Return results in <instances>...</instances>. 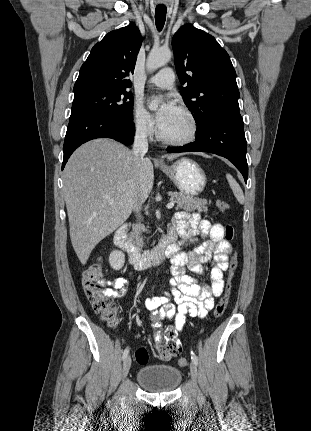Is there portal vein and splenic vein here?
Masks as SVG:
<instances>
[{"label": "portal vein and splenic vein", "mask_w": 311, "mask_h": 431, "mask_svg": "<svg viewBox=\"0 0 311 431\" xmlns=\"http://www.w3.org/2000/svg\"><path fill=\"white\" fill-rule=\"evenodd\" d=\"M113 204H115L114 200H111V198H109V206H113ZM174 206H175V202H169L166 208H168V210H171V208H174Z\"/></svg>", "instance_id": "18ae733b"}]
</instances>
